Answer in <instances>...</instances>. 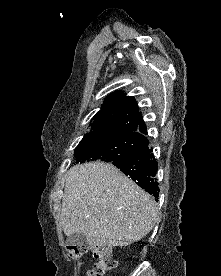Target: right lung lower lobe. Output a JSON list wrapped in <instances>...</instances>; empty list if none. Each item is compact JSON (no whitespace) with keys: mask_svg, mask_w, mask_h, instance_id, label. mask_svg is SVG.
I'll use <instances>...</instances> for the list:
<instances>
[{"mask_svg":"<svg viewBox=\"0 0 221 276\" xmlns=\"http://www.w3.org/2000/svg\"><path fill=\"white\" fill-rule=\"evenodd\" d=\"M149 141L145 138V143L130 153L125 158H120L111 163L119 168L125 175H128L141 188L156 198L159 196V187L156 180L157 163L148 147Z\"/></svg>","mask_w":221,"mask_h":276,"instance_id":"obj_1","label":"right lung lower lobe"}]
</instances>
